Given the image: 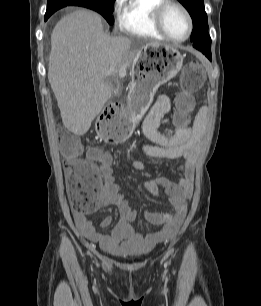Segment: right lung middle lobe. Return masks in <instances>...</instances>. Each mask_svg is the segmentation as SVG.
<instances>
[{
	"mask_svg": "<svg viewBox=\"0 0 261 306\" xmlns=\"http://www.w3.org/2000/svg\"><path fill=\"white\" fill-rule=\"evenodd\" d=\"M114 1L115 0H53L48 1L46 13L53 14L55 11L70 5L82 6L100 13L107 22L112 25L114 23V18L112 16Z\"/></svg>",
	"mask_w": 261,
	"mask_h": 306,
	"instance_id": "dd1d6c3e",
	"label": "right lung middle lobe"
}]
</instances>
